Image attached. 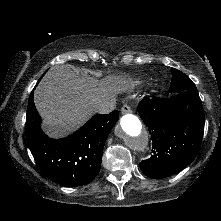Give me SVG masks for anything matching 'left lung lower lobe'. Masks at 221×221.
I'll return each mask as SVG.
<instances>
[{
  "instance_id": "obj_1",
  "label": "left lung lower lobe",
  "mask_w": 221,
  "mask_h": 221,
  "mask_svg": "<svg viewBox=\"0 0 221 221\" xmlns=\"http://www.w3.org/2000/svg\"><path fill=\"white\" fill-rule=\"evenodd\" d=\"M138 112L152 137L153 155L140 163L150 178H163L187 167L196 157L205 116L196 87L170 98H145Z\"/></svg>"
}]
</instances>
